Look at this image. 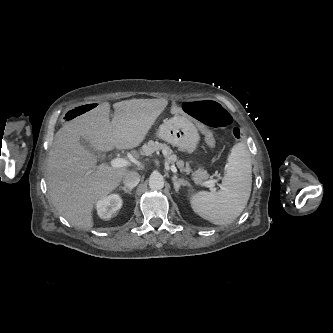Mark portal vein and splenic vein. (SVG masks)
Wrapping results in <instances>:
<instances>
[{
  "mask_svg": "<svg viewBox=\"0 0 333 333\" xmlns=\"http://www.w3.org/2000/svg\"><path fill=\"white\" fill-rule=\"evenodd\" d=\"M131 162L125 158H115L111 161V166L114 168H122V167H127L130 166ZM171 171L173 173H177V169L175 167V165H171ZM209 184L210 186L213 185V182H205L202 183V185H207Z\"/></svg>",
  "mask_w": 333,
  "mask_h": 333,
  "instance_id": "obj_1",
  "label": "portal vein and splenic vein"
}]
</instances>
